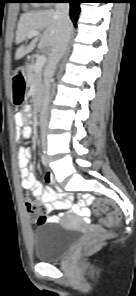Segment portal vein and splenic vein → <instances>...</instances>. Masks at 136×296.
I'll return each instance as SVG.
<instances>
[{
    "label": "portal vein and splenic vein",
    "instance_id": "portal-vein-and-splenic-vein-1",
    "mask_svg": "<svg viewBox=\"0 0 136 296\" xmlns=\"http://www.w3.org/2000/svg\"><path fill=\"white\" fill-rule=\"evenodd\" d=\"M38 35H40V33L38 31L33 30V31L28 32L27 37L31 38V37L38 36ZM45 62H46L45 55L42 54L37 57L36 63H35L36 72H39L42 70V67L44 66Z\"/></svg>",
    "mask_w": 136,
    "mask_h": 296
}]
</instances>
